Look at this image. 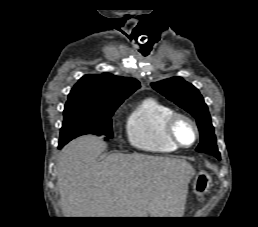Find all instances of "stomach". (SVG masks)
I'll list each match as a JSON object with an SVG mask.
<instances>
[{
	"mask_svg": "<svg viewBox=\"0 0 258 227\" xmlns=\"http://www.w3.org/2000/svg\"><path fill=\"white\" fill-rule=\"evenodd\" d=\"M193 192L197 196H201L208 192L212 186V178L206 171H200L193 180Z\"/></svg>",
	"mask_w": 258,
	"mask_h": 227,
	"instance_id": "1",
	"label": "stomach"
}]
</instances>
